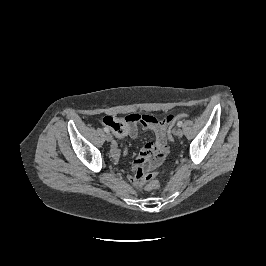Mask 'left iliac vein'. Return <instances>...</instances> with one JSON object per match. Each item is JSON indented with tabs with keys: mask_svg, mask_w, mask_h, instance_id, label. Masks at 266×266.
Instances as JSON below:
<instances>
[{
	"mask_svg": "<svg viewBox=\"0 0 266 266\" xmlns=\"http://www.w3.org/2000/svg\"><path fill=\"white\" fill-rule=\"evenodd\" d=\"M175 135L179 138H181L183 136V131L182 129L178 128L175 132Z\"/></svg>",
	"mask_w": 266,
	"mask_h": 266,
	"instance_id": "left-iliac-vein-1",
	"label": "left iliac vein"
}]
</instances>
